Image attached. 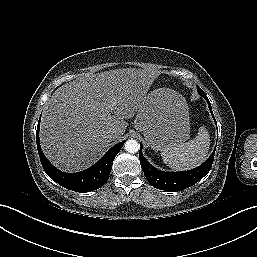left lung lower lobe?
Segmentation results:
<instances>
[{"label":"left lung lower lobe","mask_w":257,"mask_h":257,"mask_svg":"<svg viewBox=\"0 0 257 257\" xmlns=\"http://www.w3.org/2000/svg\"><path fill=\"white\" fill-rule=\"evenodd\" d=\"M198 92L209 104L210 112L214 118L209 99L205 93L198 87ZM215 120V118H214ZM216 122V120H215ZM217 125V123H216ZM215 150L210 157L199 167L183 172H163L154 168L143 156L142 145L140 144L139 158L142 170L149 183L160 190L176 192L184 190L200 179H202L211 169L214 160Z\"/></svg>","instance_id":"obj_1"}]
</instances>
